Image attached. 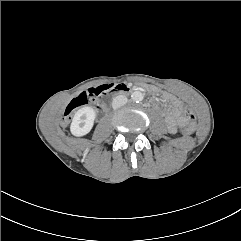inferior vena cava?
<instances>
[{"mask_svg":"<svg viewBox=\"0 0 241 241\" xmlns=\"http://www.w3.org/2000/svg\"><path fill=\"white\" fill-rule=\"evenodd\" d=\"M128 99L124 95H118L113 99L112 107L114 109L119 108L127 103Z\"/></svg>","mask_w":241,"mask_h":241,"instance_id":"obj_1","label":"inferior vena cava"}]
</instances>
